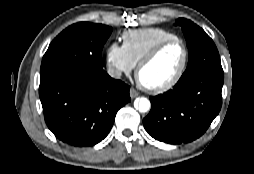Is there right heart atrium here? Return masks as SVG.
I'll return each instance as SVG.
<instances>
[{"label": "right heart atrium", "mask_w": 254, "mask_h": 174, "mask_svg": "<svg viewBox=\"0 0 254 174\" xmlns=\"http://www.w3.org/2000/svg\"><path fill=\"white\" fill-rule=\"evenodd\" d=\"M106 64L109 72L116 78L129 74L134 69V64L126 54L123 45L112 42L106 49Z\"/></svg>", "instance_id": "d8ad5b80"}]
</instances>
